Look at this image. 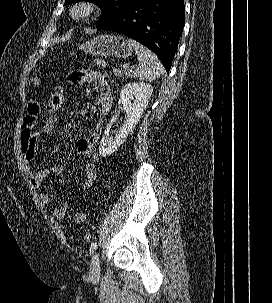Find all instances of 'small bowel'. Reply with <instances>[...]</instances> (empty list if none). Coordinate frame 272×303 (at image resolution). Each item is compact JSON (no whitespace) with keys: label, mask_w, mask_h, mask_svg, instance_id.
Here are the masks:
<instances>
[{"label":"small bowel","mask_w":272,"mask_h":303,"mask_svg":"<svg viewBox=\"0 0 272 303\" xmlns=\"http://www.w3.org/2000/svg\"><path fill=\"white\" fill-rule=\"evenodd\" d=\"M67 81L71 85H81L85 82H93L99 89L96 102L99 118L90 134L81 137L76 142V149L78 152L90 159L84 167V179L81 183V188L86 190L91 188L96 180V165L100 160L96 145L102 134L103 117L109 112L112 104V94L105 76L95 70L75 71L68 76ZM40 111L41 106L39 101L32 100L29 102L23 119L20 146L22 159L26 166L29 178L33 186L40 190L39 196L42 203L49 204L51 198L48 191L44 189V183L49 175V169L40 168L36 170L32 167V163L37 156L36 149L38 142L40 139L53 133V131L45 130L42 127L36 128V122ZM50 171L57 176L63 174V169L57 164H53ZM67 207V203H61L53 208L52 213L56 218H63L67 212Z\"/></svg>","instance_id":"small-bowel-1"}]
</instances>
